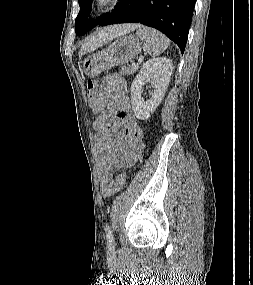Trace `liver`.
<instances>
[{
    "instance_id": "obj_1",
    "label": "liver",
    "mask_w": 253,
    "mask_h": 285,
    "mask_svg": "<svg viewBox=\"0 0 253 285\" xmlns=\"http://www.w3.org/2000/svg\"><path fill=\"white\" fill-rule=\"evenodd\" d=\"M136 28L137 25L135 24H122L100 30L98 33L89 37L85 41L79 51V58H81L85 53L94 51L95 49L103 46L105 43H108L117 37L123 36Z\"/></svg>"
}]
</instances>
